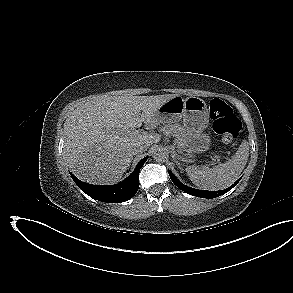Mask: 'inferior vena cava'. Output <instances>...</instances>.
Segmentation results:
<instances>
[{
    "mask_svg": "<svg viewBox=\"0 0 293 293\" xmlns=\"http://www.w3.org/2000/svg\"><path fill=\"white\" fill-rule=\"evenodd\" d=\"M146 150V147L143 145H136L133 149V153L134 155L138 154V153H143Z\"/></svg>",
    "mask_w": 293,
    "mask_h": 293,
    "instance_id": "602c4592",
    "label": "inferior vena cava"
}]
</instances>
